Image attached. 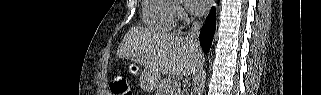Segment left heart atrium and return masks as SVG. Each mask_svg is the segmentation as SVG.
I'll use <instances>...</instances> for the list:
<instances>
[{
    "mask_svg": "<svg viewBox=\"0 0 321 95\" xmlns=\"http://www.w3.org/2000/svg\"><path fill=\"white\" fill-rule=\"evenodd\" d=\"M192 9L196 13H202L210 7V0H190Z\"/></svg>",
    "mask_w": 321,
    "mask_h": 95,
    "instance_id": "39dd6f15",
    "label": "left heart atrium"
}]
</instances>
